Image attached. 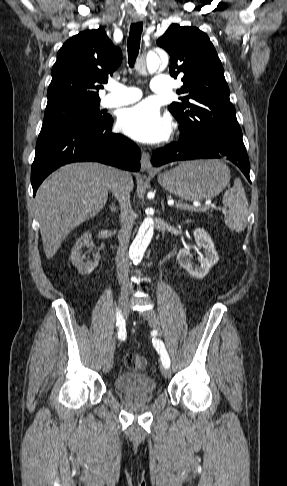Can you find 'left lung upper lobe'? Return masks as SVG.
<instances>
[{"label": "left lung upper lobe", "instance_id": "obj_1", "mask_svg": "<svg viewBox=\"0 0 287 486\" xmlns=\"http://www.w3.org/2000/svg\"><path fill=\"white\" fill-rule=\"evenodd\" d=\"M157 44L170 55V75H183L184 85L177 90L180 102L168 107L180 129L243 142L223 66L206 33L172 24Z\"/></svg>", "mask_w": 287, "mask_h": 486}]
</instances>
